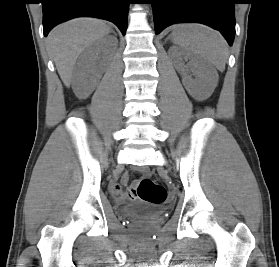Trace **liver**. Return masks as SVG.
<instances>
[{"mask_svg":"<svg viewBox=\"0 0 279 267\" xmlns=\"http://www.w3.org/2000/svg\"><path fill=\"white\" fill-rule=\"evenodd\" d=\"M110 32L105 21L95 18H77L55 27L47 37L57 71L68 87L78 56L96 39Z\"/></svg>","mask_w":279,"mask_h":267,"instance_id":"6515ba94","label":"liver"}]
</instances>
